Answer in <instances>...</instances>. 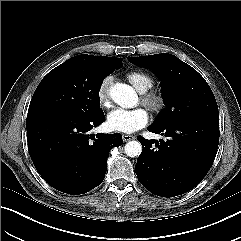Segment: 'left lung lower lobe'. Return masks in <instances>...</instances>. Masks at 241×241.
I'll return each mask as SVG.
<instances>
[{"label":"left lung lower lobe","instance_id":"left-lung-lower-lobe-1","mask_svg":"<svg viewBox=\"0 0 241 241\" xmlns=\"http://www.w3.org/2000/svg\"><path fill=\"white\" fill-rule=\"evenodd\" d=\"M148 131L160 133L167 140L138 137L143 147L135 165L140 183L161 197L178 196L197 186L213 164L219 122L186 120L164 127L151 125Z\"/></svg>","mask_w":241,"mask_h":241}]
</instances>
